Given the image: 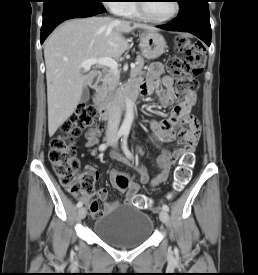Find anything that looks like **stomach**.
<instances>
[{
  "label": "stomach",
  "mask_w": 258,
  "mask_h": 275,
  "mask_svg": "<svg viewBox=\"0 0 258 275\" xmlns=\"http://www.w3.org/2000/svg\"><path fill=\"white\" fill-rule=\"evenodd\" d=\"M140 50L142 56L153 60L160 57L166 48L164 37L157 31H143L140 33Z\"/></svg>",
  "instance_id": "obj_1"
}]
</instances>
